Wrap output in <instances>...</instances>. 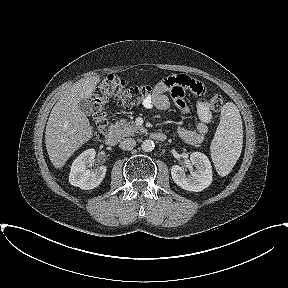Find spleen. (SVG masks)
I'll return each instance as SVG.
<instances>
[{
	"label": "spleen",
	"instance_id": "obj_1",
	"mask_svg": "<svg viewBox=\"0 0 288 288\" xmlns=\"http://www.w3.org/2000/svg\"><path fill=\"white\" fill-rule=\"evenodd\" d=\"M243 127L238 108L227 102L221 110V119L210 146L211 158L220 176L228 175L240 157Z\"/></svg>",
	"mask_w": 288,
	"mask_h": 288
}]
</instances>
